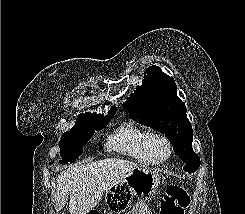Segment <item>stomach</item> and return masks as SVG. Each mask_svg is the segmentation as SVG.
Returning a JSON list of instances; mask_svg holds the SVG:
<instances>
[{"mask_svg": "<svg viewBox=\"0 0 245 214\" xmlns=\"http://www.w3.org/2000/svg\"><path fill=\"white\" fill-rule=\"evenodd\" d=\"M159 183L160 177L157 171L136 167L127 173L122 181L106 191V206L111 212L121 214L129 207L133 196L153 193Z\"/></svg>", "mask_w": 245, "mask_h": 214, "instance_id": "obj_1", "label": "stomach"}]
</instances>
